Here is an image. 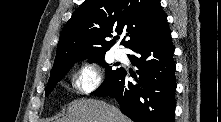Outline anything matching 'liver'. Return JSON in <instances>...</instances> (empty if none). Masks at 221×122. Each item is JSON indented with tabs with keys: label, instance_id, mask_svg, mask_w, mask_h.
Segmentation results:
<instances>
[{
	"label": "liver",
	"instance_id": "1",
	"mask_svg": "<svg viewBox=\"0 0 221 122\" xmlns=\"http://www.w3.org/2000/svg\"><path fill=\"white\" fill-rule=\"evenodd\" d=\"M60 122H130L114 106L94 99H78L69 104L66 117Z\"/></svg>",
	"mask_w": 221,
	"mask_h": 122
}]
</instances>
